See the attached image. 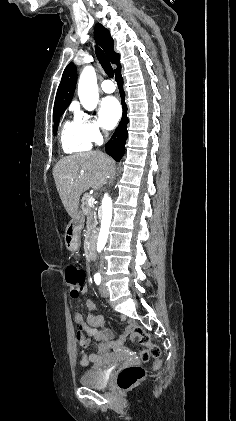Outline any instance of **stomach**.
<instances>
[{"label":"stomach","mask_w":236,"mask_h":421,"mask_svg":"<svg viewBox=\"0 0 236 421\" xmlns=\"http://www.w3.org/2000/svg\"><path fill=\"white\" fill-rule=\"evenodd\" d=\"M83 223L82 213H77L76 217H73L72 221H70L65 231V245L68 251H78Z\"/></svg>","instance_id":"stomach-1"}]
</instances>
